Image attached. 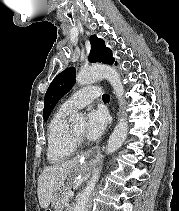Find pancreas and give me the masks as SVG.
Segmentation results:
<instances>
[{"label": "pancreas", "mask_w": 179, "mask_h": 211, "mask_svg": "<svg viewBox=\"0 0 179 211\" xmlns=\"http://www.w3.org/2000/svg\"><path fill=\"white\" fill-rule=\"evenodd\" d=\"M68 191H70V188L65 187L56 195L53 202V206L55 207L56 211H62L66 203L69 201V197L66 195Z\"/></svg>", "instance_id": "pancreas-1"}]
</instances>
